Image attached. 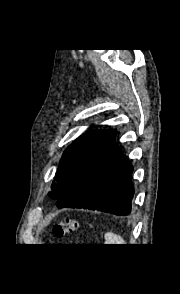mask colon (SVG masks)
<instances>
[{
    "instance_id": "5ec220e1",
    "label": "colon",
    "mask_w": 180,
    "mask_h": 294,
    "mask_svg": "<svg viewBox=\"0 0 180 294\" xmlns=\"http://www.w3.org/2000/svg\"><path fill=\"white\" fill-rule=\"evenodd\" d=\"M79 227L76 220L73 219H63L55 223L53 227V235L56 238H61L68 234L75 232Z\"/></svg>"
}]
</instances>
